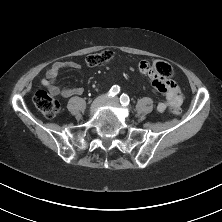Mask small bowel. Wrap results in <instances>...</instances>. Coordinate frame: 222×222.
<instances>
[{
    "label": "small bowel",
    "mask_w": 222,
    "mask_h": 222,
    "mask_svg": "<svg viewBox=\"0 0 222 222\" xmlns=\"http://www.w3.org/2000/svg\"><path fill=\"white\" fill-rule=\"evenodd\" d=\"M70 68L79 70L81 65L76 61H57L53 63L46 71L45 78L42 79V85L55 96L70 97L80 95L83 89L80 87H68L59 86L55 84V81L61 70ZM139 72L144 75L145 79H149V82L161 93L165 95V100H162L157 105L159 112H165L169 108H178L183 102V96L180 88L172 80H166L164 76L153 70L152 66L148 62H141L139 64Z\"/></svg>",
    "instance_id": "small-bowel-1"
}]
</instances>
